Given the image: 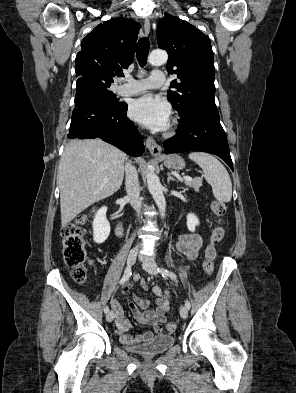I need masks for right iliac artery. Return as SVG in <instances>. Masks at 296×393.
<instances>
[{
    "mask_svg": "<svg viewBox=\"0 0 296 393\" xmlns=\"http://www.w3.org/2000/svg\"><path fill=\"white\" fill-rule=\"evenodd\" d=\"M131 274H132V273H131L130 267L126 268V270H125V272H124V275H123V277L121 278V280H120L119 283H120V284H124L126 281L129 280ZM104 312H105V313H108V312H109L108 306H106V307L104 308Z\"/></svg>",
    "mask_w": 296,
    "mask_h": 393,
    "instance_id": "obj_1",
    "label": "right iliac artery"
}]
</instances>
